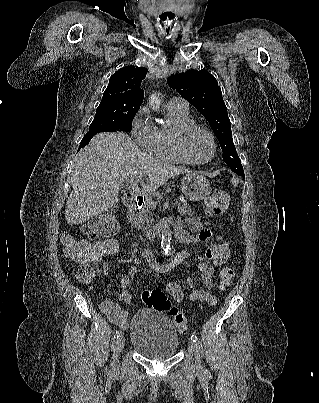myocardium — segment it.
I'll return each mask as SVG.
<instances>
[{"instance_id":"1","label":"myocardium","mask_w":319,"mask_h":403,"mask_svg":"<svg viewBox=\"0 0 319 403\" xmlns=\"http://www.w3.org/2000/svg\"><path fill=\"white\" fill-rule=\"evenodd\" d=\"M194 130L203 131L210 139L213 152H212L211 157L207 160L198 161V160L192 158L187 151L186 139H187L188 135ZM174 141H175L176 150H177L178 154L180 155V157L182 159H184L186 162L191 163V164H195V165L208 164V163L212 162L217 155V144H216V140H215L212 132L206 126L193 122V121L180 126L176 130L175 136H174Z\"/></svg>"}]
</instances>
